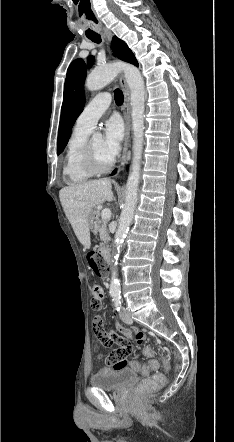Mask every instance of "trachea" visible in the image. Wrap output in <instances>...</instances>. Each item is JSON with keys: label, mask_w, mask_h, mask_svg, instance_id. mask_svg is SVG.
<instances>
[{"label": "trachea", "mask_w": 234, "mask_h": 442, "mask_svg": "<svg viewBox=\"0 0 234 442\" xmlns=\"http://www.w3.org/2000/svg\"><path fill=\"white\" fill-rule=\"evenodd\" d=\"M89 39L95 43L101 42V37L99 35L95 36V37H90ZM114 98H115L116 104H118V105L123 104V93L120 89L114 90Z\"/></svg>", "instance_id": "trachea-1"}]
</instances>
